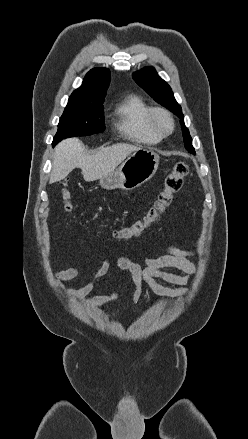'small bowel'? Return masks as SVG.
I'll list each match as a JSON object with an SVG mask.
<instances>
[{
  "label": "small bowel",
  "instance_id": "obj_1",
  "mask_svg": "<svg viewBox=\"0 0 248 439\" xmlns=\"http://www.w3.org/2000/svg\"><path fill=\"white\" fill-rule=\"evenodd\" d=\"M167 254L153 257L148 255L145 258V265L142 268L125 257H120L116 261L117 267L126 275L132 284L133 295L132 301L137 302L143 294L144 287L149 288L153 293L160 296L173 297L181 299L188 293L186 286L191 281V275L196 272V265L189 260L195 255L192 250H182L174 245L165 247ZM177 269L184 274H176L166 271V269ZM110 269V260L105 258L97 271L96 278L104 277ZM79 269L76 267L68 268L66 270L57 271L55 274V281L57 286L64 289L63 282L77 277ZM161 280L173 286H167L160 283ZM94 288V283L91 282L78 289H70L67 291L68 295L75 299L87 298L93 303H105L113 301L117 296V291L114 290L107 296H89Z\"/></svg>",
  "mask_w": 248,
  "mask_h": 439
}]
</instances>
